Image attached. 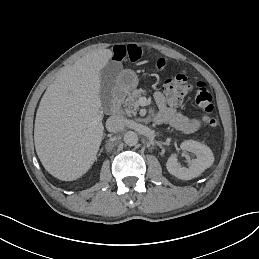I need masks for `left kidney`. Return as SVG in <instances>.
<instances>
[{
	"instance_id": "5707ae66",
	"label": "left kidney",
	"mask_w": 259,
	"mask_h": 259,
	"mask_svg": "<svg viewBox=\"0 0 259 259\" xmlns=\"http://www.w3.org/2000/svg\"><path fill=\"white\" fill-rule=\"evenodd\" d=\"M180 149L196 155L189 168L182 167L178 163L179 151L172 153L166 163L168 172L179 179L190 180L199 176L207 168L211 167L214 161L211 150L205 145L193 140L185 141L180 145Z\"/></svg>"
}]
</instances>
